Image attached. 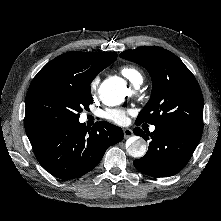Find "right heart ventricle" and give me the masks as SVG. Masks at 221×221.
<instances>
[{"label":"right heart ventricle","mask_w":221,"mask_h":221,"mask_svg":"<svg viewBox=\"0 0 221 221\" xmlns=\"http://www.w3.org/2000/svg\"><path fill=\"white\" fill-rule=\"evenodd\" d=\"M120 73L136 87L143 82L142 72L134 66H123L120 68Z\"/></svg>","instance_id":"obj_1"}]
</instances>
